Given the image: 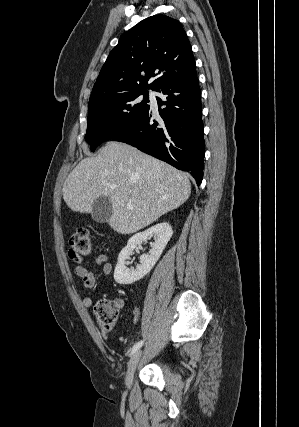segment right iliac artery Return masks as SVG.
Here are the masks:
<instances>
[{
	"instance_id": "1",
	"label": "right iliac artery",
	"mask_w": 299,
	"mask_h": 427,
	"mask_svg": "<svg viewBox=\"0 0 299 427\" xmlns=\"http://www.w3.org/2000/svg\"><path fill=\"white\" fill-rule=\"evenodd\" d=\"M142 345L143 341L137 342L132 348L131 355L134 354Z\"/></svg>"
}]
</instances>
